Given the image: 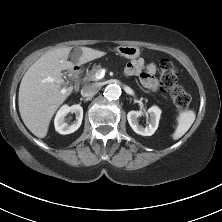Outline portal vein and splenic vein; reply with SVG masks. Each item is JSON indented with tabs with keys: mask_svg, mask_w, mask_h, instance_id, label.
<instances>
[{
	"mask_svg": "<svg viewBox=\"0 0 222 222\" xmlns=\"http://www.w3.org/2000/svg\"><path fill=\"white\" fill-rule=\"evenodd\" d=\"M104 77V71L103 70H101L99 73H97L96 74V78L97 79H101V78H103ZM47 81H50V82H53L54 80H53V78H47L46 79Z\"/></svg>",
	"mask_w": 222,
	"mask_h": 222,
	"instance_id": "portal-vein-and-splenic-vein-1",
	"label": "portal vein and splenic vein"
}]
</instances>
